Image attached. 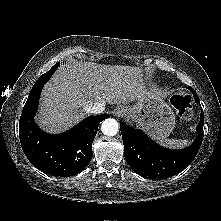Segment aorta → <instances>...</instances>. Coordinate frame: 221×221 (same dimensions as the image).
<instances>
[{"label": "aorta", "mask_w": 221, "mask_h": 221, "mask_svg": "<svg viewBox=\"0 0 221 221\" xmlns=\"http://www.w3.org/2000/svg\"><path fill=\"white\" fill-rule=\"evenodd\" d=\"M119 129L118 122L113 118L105 119L101 125V131L107 136H114Z\"/></svg>", "instance_id": "aorta-1"}]
</instances>
